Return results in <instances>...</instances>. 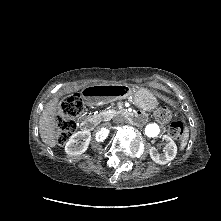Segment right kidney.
<instances>
[{
	"label": "right kidney",
	"instance_id": "obj_1",
	"mask_svg": "<svg viewBox=\"0 0 221 221\" xmlns=\"http://www.w3.org/2000/svg\"><path fill=\"white\" fill-rule=\"evenodd\" d=\"M91 133L89 131H78L73 134L65 146V152L68 155H80L84 153L89 146Z\"/></svg>",
	"mask_w": 221,
	"mask_h": 221
}]
</instances>
